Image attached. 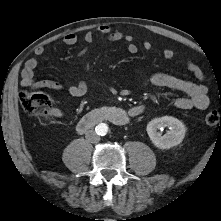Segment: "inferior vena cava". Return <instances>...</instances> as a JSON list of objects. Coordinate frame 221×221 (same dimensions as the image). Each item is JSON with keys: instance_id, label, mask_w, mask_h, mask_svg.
Returning <instances> with one entry per match:
<instances>
[{"instance_id": "602c4592", "label": "inferior vena cava", "mask_w": 221, "mask_h": 221, "mask_svg": "<svg viewBox=\"0 0 221 221\" xmlns=\"http://www.w3.org/2000/svg\"><path fill=\"white\" fill-rule=\"evenodd\" d=\"M85 137L91 143H98L100 141V136L94 130L87 131Z\"/></svg>"}]
</instances>
